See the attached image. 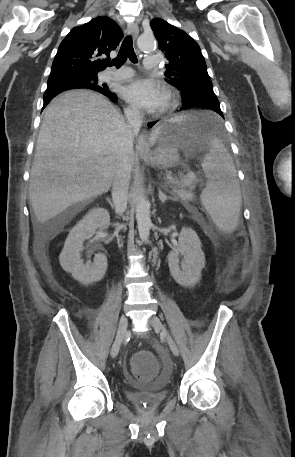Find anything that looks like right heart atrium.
Returning <instances> with one entry per match:
<instances>
[{
  "label": "right heart atrium",
  "instance_id": "right-heart-atrium-1",
  "mask_svg": "<svg viewBox=\"0 0 295 457\" xmlns=\"http://www.w3.org/2000/svg\"><path fill=\"white\" fill-rule=\"evenodd\" d=\"M128 111V114L131 115V116H138L139 115V111L133 107H129L127 109Z\"/></svg>",
  "mask_w": 295,
  "mask_h": 457
}]
</instances>
